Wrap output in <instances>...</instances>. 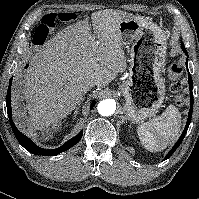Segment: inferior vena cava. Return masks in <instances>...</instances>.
Instances as JSON below:
<instances>
[{
  "mask_svg": "<svg viewBox=\"0 0 199 199\" xmlns=\"http://www.w3.org/2000/svg\"><path fill=\"white\" fill-rule=\"evenodd\" d=\"M96 85V83L94 82V81H88L86 84H85V86H84V89L86 90V91H88L89 89H91L92 87H94Z\"/></svg>",
  "mask_w": 199,
  "mask_h": 199,
  "instance_id": "inferior-vena-cava-1",
  "label": "inferior vena cava"
}]
</instances>
